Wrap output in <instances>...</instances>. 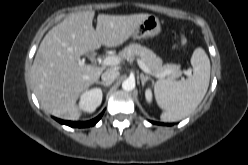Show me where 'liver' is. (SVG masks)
Wrapping results in <instances>:
<instances>
[{"label":"liver","mask_w":248,"mask_h":165,"mask_svg":"<svg viewBox=\"0 0 248 165\" xmlns=\"http://www.w3.org/2000/svg\"><path fill=\"white\" fill-rule=\"evenodd\" d=\"M72 13L43 38L30 70L33 91L41 107L64 119L76 120L79 95L95 83L105 67L86 65L81 56L101 45L117 47L129 39L149 14L105 15Z\"/></svg>","instance_id":"obj_1"}]
</instances>
